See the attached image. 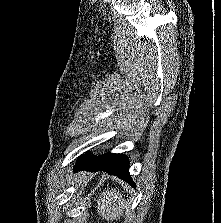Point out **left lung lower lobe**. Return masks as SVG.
<instances>
[{
  "mask_svg": "<svg viewBox=\"0 0 221 223\" xmlns=\"http://www.w3.org/2000/svg\"><path fill=\"white\" fill-rule=\"evenodd\" d=\"M75 170H87L90 172L103 171L115 175L133 184L129 173V161L122 154L107 153L99 157L86 153L77 161Z\"/></svg>",
  "mask_w": 221,
  "mask_h": 223,
  "instance_id": "1",
  "label": "left lung lower lobe"
}]
</instances>
